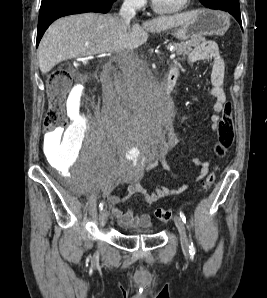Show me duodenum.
<instances>
[{
  "label": "duodenum",
  "instance_id": "410a0bca",
  "mask_svg": "<svg viewBox=\"0 0 267 298\" xmlns=\"http://www.w3.org/2000/svg\"><path fill=\"white\" fill-rule=\"evenodd\" d=\"M176 80H177V69L175 67H172L169 70V73H168V76H167L165 82L162 84V86H166V92L165 93H167V95L174 88V86L176 84Z\"/></svg>",
  "mask_w": 267,
  "mask_h": 298
}]
</instances>
